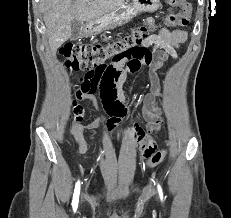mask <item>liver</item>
Segmentation results:
<instances>
[{"mask_svg":"<svg viewBox=\"0 0 231 218\" xmlns=\"http://www.w3.org/2000/svg\"><path fill=\"white\" fill-rule=\"evenodd\" d=\"M125 0H40L49 46L54 56L57 49L71 37V22L92 21L109 16Z\"/></svg>","mask_w":231,"mask_h":218,"instance_id":"obj_1","label":"liver"}]
</instances>
